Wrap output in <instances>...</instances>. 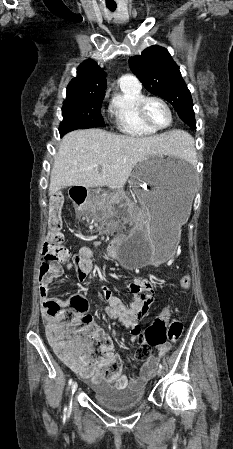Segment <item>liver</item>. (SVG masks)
Instances as JSON below:
<instances>
[{
  "label": "liver",
  "instance_id": "1",
  "mask_svg": "<svg viewBox=\"0 0 233 449\" xmlns=\"http://www.w3.org/2000/svg\"><path fill=\"white\" fill-rule=\"evenodd\" d=\"M183 142L181 131L153 133L150 137L117 135L101 129L70 132L58 146L49 194L69 186L121 189L138 163L157 155H171Z\"/></svg>",
  "mask_w": 233,
  "mask_h": 449
}]
</instances>
